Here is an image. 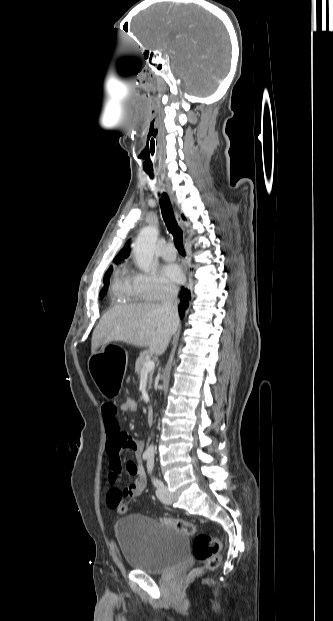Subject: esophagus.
<instances>
[{"label": "esophagus", "instance_id": "obj_1", "mask_svg": "<svg viewBox=\"0 0 333 621\" xmlns=\"http://www.w3.org/2000/svg\"><path fill=\"white\" fill-rule=\"evenodd\" d=\"M175 217H176L178 224L182 225V219L180 217V214L177 211L175 212Z\"/></svg>", "mask_w": 333, "mask_h": 621}]
</instances>
